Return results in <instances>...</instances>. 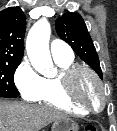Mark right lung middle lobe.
Returning <instances> with one entry per match:
<instances>
[{
	"label": "right lung middle lobe",
	"mask_w": 117,
	"mask_h": 131,
	"mask_svg": "<svg viewBox=\"0 0 117 131\" xmlns=\"http://www.w3.org/2000/svg\"><path fill=\"white\" fill-rule=\"evenodd\" d=\"M20 61L0 62V97L16 98L19 91L14 84V73Z\"/></svg>",
	"instance_id": "1"
}]
</instances>
